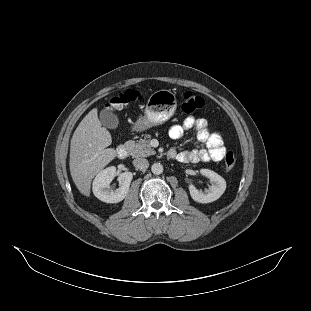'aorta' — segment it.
Masks as SVG:
<instances>
[{"label": "aorta", "instance_id": "1", "mask_svg": "<svg viewBox=\"0 0 311 311\" xmlns=\"http://www.w3.org/2000/svg\"><path fill=\"white\" fill-rule=\"evenodd\" d=\"M151 171L155 175H159L163 172V165L161 163H153L151 166Z\"/></svg>", "mask_w": 311, "mask_h": 311}]
</instances>
